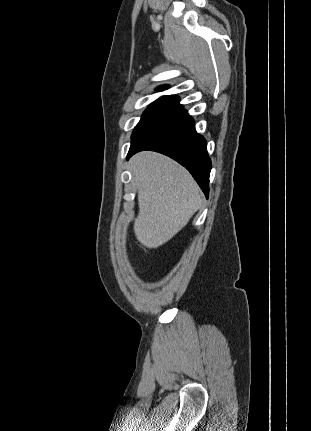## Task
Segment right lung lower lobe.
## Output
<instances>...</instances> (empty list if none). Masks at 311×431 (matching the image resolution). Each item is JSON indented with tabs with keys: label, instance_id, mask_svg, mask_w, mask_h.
<instances>
[{
	"label": "right lung lower lobe",
	"instance_id": "98d812e1",
	"mask_svg": "<svg viewBox=\"0 0 311 431\" xmlns=\"http://www.w3.org/2000/svg\"><path fill=\"white\" fill-rule=\"evenodd\" d=\"M142 150L165 154L183 165L208 198L211 160L207 153V143L196 133L194 120L178 102L132 139L127 160Z\"/></svg>",
	"mask_w": 311,
	"mask_h": 431
}]
</instances>
